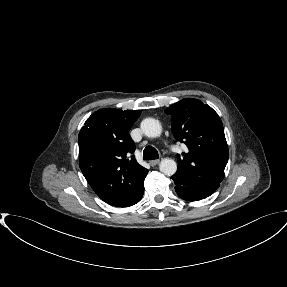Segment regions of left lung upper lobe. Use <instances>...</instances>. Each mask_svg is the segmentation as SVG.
Segmentation results:
<instances>
[{"mask_svg":"<svg viewBox=\"0 0 287 287\" xmlns=\"http://www.w3.org/2000/svg\"><path fill=\"white\" fill-rule=\"evenodd\" d=\"M170 114L172 132L188 147L177 154L178 169L171 177L184 185L219 186L229 153L218 114L198 99H183L165 110Z\"/></svg>","mask_w":287,"mask_h":287,"instance_id":"1","label":"left lung upper lobe"}]
</instances>
